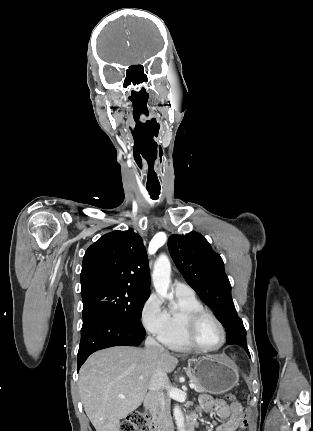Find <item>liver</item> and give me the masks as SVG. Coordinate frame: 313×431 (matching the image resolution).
Returning <instances> with one entry per match:
<instances>
[{
  "mask_svg": "<svg viewBox=\"0 0 313 431\" xmlns=\"http://www.w3.org/2000/svg\"><path fill=\"white\" fill-rule=\"evenodd\" d=\"M177 364L156 349L119 346L92 354L80 369L78 388L96 431H119L120 420L142 404L156 366L171 373Z\"/></svg>",
  "mask_w": 313,
  "mask_h": 431,
  "instance_id": "6515ba94",
  "label": "liver"
}]
</instances>
